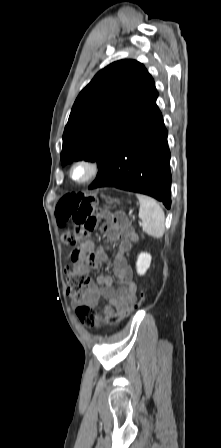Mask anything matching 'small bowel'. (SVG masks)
<instances>
[{
  "label": "small bowel",
  "instance_id": "1",
  "mask_svg": "<svg viewBox=\"0 0 221 448\" xmlns=\"http://www.w3.org/2000/svg\"><path fill=\"white\" fill-rule=\"evenodd\" d=\"M103 223V229L107 233V244L98 253H92L91 243L70 232L62 235L65 245L73 247L70 258L80 272H89L107 261L105 250L113 247L118 252L113 260L114 276H99L91 281L83 294L82 302L95 309L101 299L108 304L104 312L95 314L96 323L100 327L109 315H115L117 319L124 317L128 306L136 300L137 286L132 280V271L127 262L126 254L131 247L138 242L139 236L128 223H117L108 211H102L97 219ZM118 285L115 290L112 286Z\"/></svg>",
  "mask_w": 221,
  "mask_h": 448
}]
</instances>
